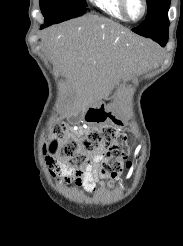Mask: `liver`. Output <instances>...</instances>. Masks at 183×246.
<instances>
[{
    "mask_svg": "<svg viewBox=\"0 0 183 246\" xmlns=\"http://www.w3.org/2000/svg\"><path fill=\"white\" fill-rule=\"evenodd\" d=\"M44 47L66 78L74 104L86 109L119 80L146 63L152 43L120 24L96 15L62 23L42 37Z\"/></svg>",
    "mask_w": 183,
    "mask_h": 246,
    "instance_id": "1",
    "label": "liver"
}]
</instances>
